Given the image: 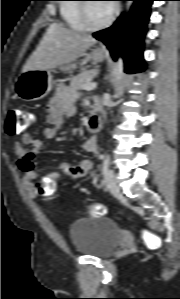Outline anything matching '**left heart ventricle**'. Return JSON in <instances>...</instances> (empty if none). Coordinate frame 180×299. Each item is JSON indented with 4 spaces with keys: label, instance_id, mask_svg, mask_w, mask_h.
Masks as SVG:
<instances>
[{
    "label": "left heart ventricle",
    "instance_id": "b2bd125f",
    "mask_svg": "<svg viewBox=\"0 0 180 299\" xmlns=\"http://www.w3.org/2000/svg\"><path fill=\"white\" fill-rule=\"evenodd\" d=\"M110 10L105 3H88V16L92 24L97 25L105 20L110 15Z\"/></svg>",
    "mask_w": 180,
    "mask_h": 299
}]
</instances>
